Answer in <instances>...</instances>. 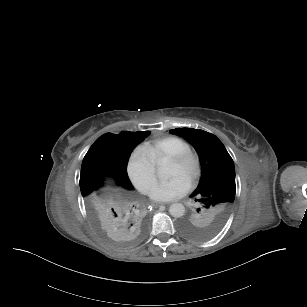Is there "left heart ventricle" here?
I'll return each mask as SVG.
<instances>
[{"label": "left heart ventricle", "mask_w": 307, "mask_h": 307, "mask_svg": "<svg viewBox=\"0 0 307 307\" xmlns=\"http://www.w3.org/2000/svg\"><path fill=\"white\" fill-rule=\"evenodd\" d=\"M197 160L195 156L190 157L184 164L178 165L170 161L169 173L170 176H182L187 179L196 169Z\"/></svg>", "instance_id": "obj_1"}]
</instances>
